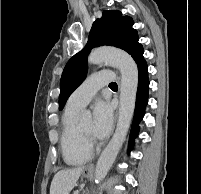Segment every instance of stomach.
<instances>
[{
    "mask_svg": "<svg viewBox=\"0 0 201 194\" xmlns=\"http://www.w3.org/2000/svg\"><path fill=\"white\" fill-rule=\"evenodd\" d=\"M83 174L85 177H90L92 175V169L90 167H86Z\"/></svg>",
    "mask_w": 201,
    "mask_h": 194,
    "instance_id": "0dacf381",
    "label": "stomach"
}]
</instances>
